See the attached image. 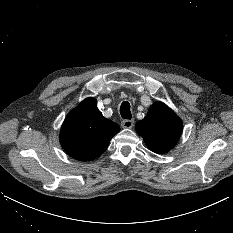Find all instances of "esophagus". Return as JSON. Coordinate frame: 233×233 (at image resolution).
<instances>
[{
	"mask_svg": "<svg viewBox=\"0 0 233 233\" xmlns=\"http://www.w3.org/2000/svg\"><path fill=\"white\" fill-rule=\"evenodd\" d=\"M134 124V120L126 119L121 122L122 128H132Z\"/></svg>",
	"mask_w": 233,
	"mask_h": 233,
	"instance_id": "esophagus-1",
	"label": "esophagus"
}]
</instances>
